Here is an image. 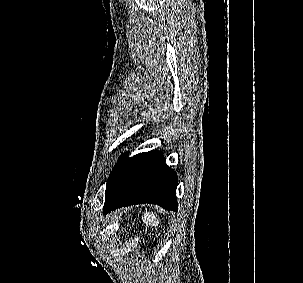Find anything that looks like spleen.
<instances>
[{
    "instance_id": "1",
    "label": "spleen",
    "mask_w": 303,
    "mask_h": 283,
    "mask_svg": "<svg viewBox=\"0 0 303 283\" xmlns=\"http://www.w3.org/2000/svg\"><path fill=\"white\" fill-rule=\"evenodd\" d=\"M142 220L146 225L153 227H158L160 224V219L157 218L156 214H154L153 212L145 213L142 216Z\"/></svg>"
}]
</instances>
